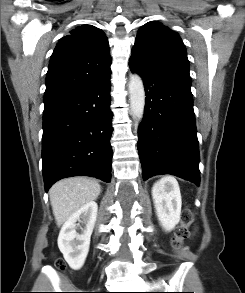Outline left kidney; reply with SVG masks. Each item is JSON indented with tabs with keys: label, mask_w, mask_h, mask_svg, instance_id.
<instances>
[{
	"label": "left kidney",
	"mask_w": 245,
	"mask_h": 293,
	"mask_svg": "<svg viewBox=\"0 0 245 293\" xmlns=\"http://www.w3.org/2000/svg\"><path fill=\"white\" fill-rule=\"evenodd\" d=\"M152 197L161 226L173 230L180 221L182 206L178 182L173 177L160 179L153 185Z\"/></svg>",
	"instance_id": "left-kidney-1"
}]
</instances>
